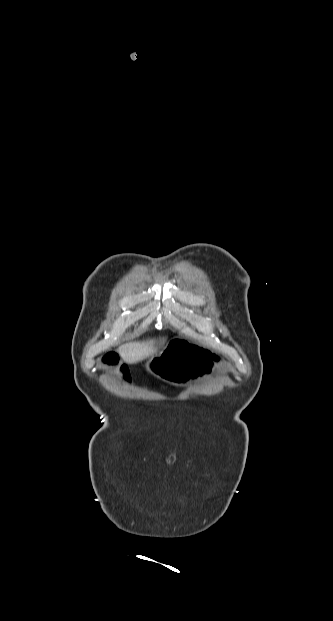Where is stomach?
Here are the masks:
<instances>
[{
    "instance_id": "stomach-1",
    "label": "stomach",
    "mask_w": 333,
    "mask_h": 621,
    "mask_svg": "<svg viewBox=\"0 0 333 621\" xmlns=\"http://www.w3.org/2000/svg\"><path fill=\"white\" fill-rule=\"evenodd\" d=\"M209 356V347L200 340L172 338L165 348L152 358V363L159 369L155 376L168 382L190 377L194 381H201L207 376L204 369L207 366L206 357Z\"/></svg>"
}]
</instances>
